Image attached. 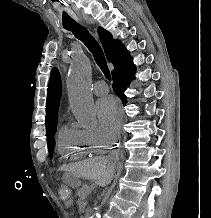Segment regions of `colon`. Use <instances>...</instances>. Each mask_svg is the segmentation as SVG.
Wrapping results in <instances>:
<instances>
[{
    "label": "colon",
    "instance_id": "colon-1",
    "mask_svg": "<svg viewBox=\"0 0 211 218\" xmlns=\"http://www.w3.org/2000/svg\"><path fill=\"white\" fill-rule=\"evenodd\" d=\"M58 195L59 198L65 202L71 200L72 198L71 189L65 184H62L58 187Z\"/></svg>",
    "mask_w": 211,
    "mask_h": 218
}]
</instances>
